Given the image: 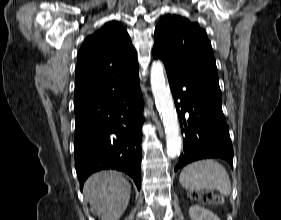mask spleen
<instances>
[{
  "label": "spleen",
  "instance_id": "3e777b00",
  "mask_svg": "<svg viewBox=\"0 0 281 220\" xmlns=\"http://www.w3.org/2000/svg\"><path fill=\"white\" fill-rule=\"evenodd\" d=\"M185 189L218 190L222 195L231 194V181L225 167L213 159L193 162L183 168L179 177Z\"/></svg>",
  "mask_w": 281,
  "mask_h": 220
}]
</instances>
